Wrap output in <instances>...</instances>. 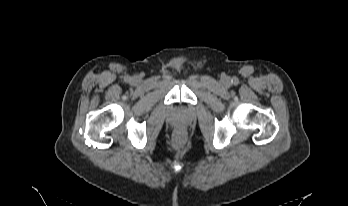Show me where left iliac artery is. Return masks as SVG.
<instances>
[{"label": "left iliac artery", "mask_w": 348, "mask_h": 206, "mask_svg": "<svg viewBox=\"0 0 348 206\" xmlns=\"http://www.w3.org/2000/svg\"><path fill=\"white\" fill-rule=\"evenodd\" d=\"M232 81L235 85L238 84V82H239V80L237 78H234Z\"/></svg>", "instance_id": "obj_1"}]
</instances>
